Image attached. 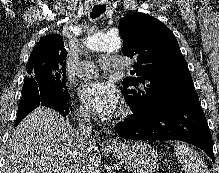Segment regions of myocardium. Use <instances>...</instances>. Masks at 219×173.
<instances>
[{
  "mask_svg": "<svg viewBox=\"0 0 219 173\" xmlns=\"http://www.w3.org/2000/svg\"><path fill=\"white\" fill-rule=\"evenodd\" d=\"M127 114H128V110H127V109H123V110H121V111L119 112L118 117H119V118H124V117L127 116Z\"/></svg>",
  "mask_w": 219,
  "mask_h": 173,
  "instance_id": "f54148a6",
  "label": "myocardium"
}]
</instances>
